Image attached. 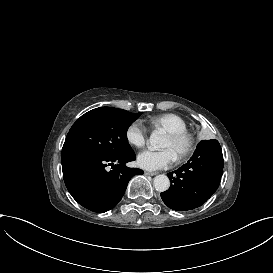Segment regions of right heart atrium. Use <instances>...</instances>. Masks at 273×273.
I'll return each instance as SVG.
<instances>
[{"label": "right heart atrium", "mask_w": 273, "mask_h": 273, "mask_svg": "<svg viewBox=\"0 0 273 273\" xmlns=\"http://www.w3.org/2000/svg\"><path fill=\"white\" fill-rule=\"evenodd\" d=\"M128 142L136 147H142L147 141L148 131L139 122H132L126 129Z\"/></svg>", "instance_id": "obj_1"}]
</instances>
